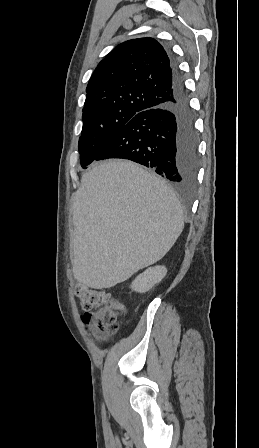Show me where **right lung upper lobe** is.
I'll return each instance as SVG.
<instances>
[{
    "mask_svg": "<svg viewBox=\"0 0 259 448\" xmlns=\"http://www.w3.org/2000/svg\"><path fill=\"white\" fill-rule=\"evenodd\" d=\"M173 71L168 54L153 38L119 44L97 66L83 114L145 111L169 102Z\"/></svg>",
    "mask_w": 259,
    "mask_h": 448,
    "instance_id": "obj_1",
    "label": "right lung upper lobe"
}]
</instances>
